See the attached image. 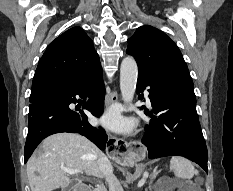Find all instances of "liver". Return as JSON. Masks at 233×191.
Wrapping results in <instances>:
<instances>
[{"mask_svg": "<svg viewBox=\"0 0 233 191\" xmlns=\"http://www.w3.org/2000/svg\"><path fill=\"white\" fill-rule=\"evenodd\" d=\"M41 153L27 162V176L31 191H53L67 187L71 180L60 167L84 171L88 176L100 177L98 160L104 156L90 140L74 133H57L43 140Z\"/></svg>", "mask_w": 233, "mask_h": 191, "instance_id": "obj_1", "label": "liver"}]
</instances>
